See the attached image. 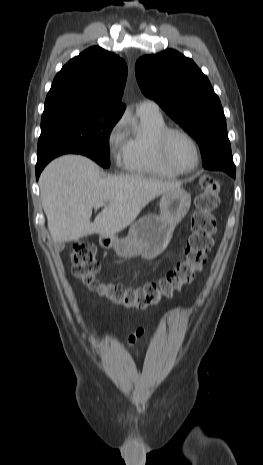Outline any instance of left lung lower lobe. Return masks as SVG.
<instances>
[{
    "label": "left lung lower lobe",
    "mask_w": 263,
    "mask_h": 465,
    "mask_svg": "<svg viewBox=\"0 0 263 465\" xmlns=\"http://www.w3.org/2000/svg\"><path fill=\"white\" fill-rule=\"evenodd\" d=\"M203 165L206 169H212L215 165V162L210 160V159H205L203 160ZM226 173L230 174L232 177H235L236 176V168H230V167H226ZM213 170V169H212Z\"/></svg>",
    "instance_id": "1"
}]
</instances>
